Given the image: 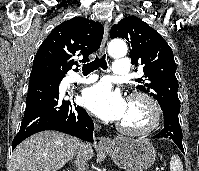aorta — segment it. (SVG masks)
Returning <instances> with one entry per match:
<instances>
[{"instance_id":"obj_1","label":"aorta","mask_w":199,"mask_h":171,"mask_svg":"<svg viewBox=\"0 0 199 171\" xmlns=\"http://www.w3.org/2000/svg\"><path fill=\"white\" fill-rule=\"evenodd\" d=\"M108 52L114 57H121L127 53V45L123 40L114 39L108 45Z\"/></svg>"}]
</instances>
